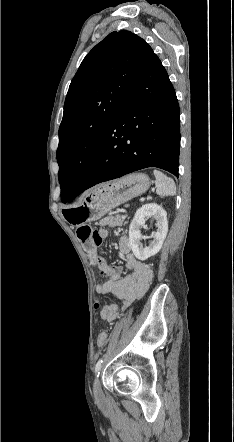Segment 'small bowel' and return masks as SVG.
Here are the masks:
<instances>
[{
  "label": "small bowel",
  "mask_w": 234,
  "mask_h": 442,
  "mask_svg": "<svg viewBox=\"0 0 234 442\" xmlns=\"http://www.w3.org/2000/svg\"><path fill=\"white\" fill-rule=\"evenodd\" d=\"M123 223V217L119 214L108 216L101 220V228L97 233L101 240L108 237L109 233L106 227H117ZM118 249L125 259V267L129 271L122 275L120 267L111 266L106 259L97 255L90 254V260L96 270L106 275L107 278L96 285V292L98 294H113L122 301L121 306L110 303L105 305L98 321L102 319L107 322H112L117 319L122 311H124L129 304L139 299L148 289L152 281L153 273L150 266L140 260H137L131 254V243L128 237L121 236L118 242Z\"/></svg>",
  "instance_id": "small-bowel-1"
}]
</instances>
